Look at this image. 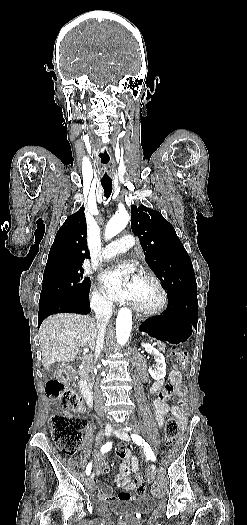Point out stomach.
<instances>
[{
    "label": "stomach",
    "mask_w": 247,
    "mask_h": 525,
    "mask_svg": "<svg viewBox=\"0 0 247 525\" xmlns=\"http://www.w3.org/2000/svg\"><path fill=\"white\" fill-rule=\"evenodd\" d=\"M138 328L150 339L170 345H181L192 334L191 327L184 321L159 316L142 320Z\"/></svg>",
    "instance_id": "1"
}]
</instances>
